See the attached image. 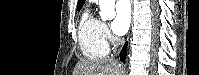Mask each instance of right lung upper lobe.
<instances>
[{"label": "right lung upper lobe", "mask_w": 199, "mask_h": 75, "mask_svg": "<svg viewBox=\"0 0 199 75\" xmlns=\"http://www.w3.org/2000/svg\"><path fill=\"white\" fill-rule=\"evenodd\" d=\"M85 3V0H78V11L82 8L83 4Z\"/></svg>", "instance_id": "cb5924a9"}]
</instances>
